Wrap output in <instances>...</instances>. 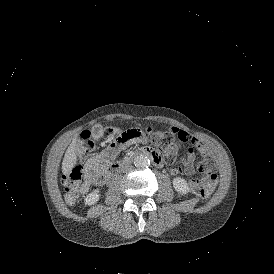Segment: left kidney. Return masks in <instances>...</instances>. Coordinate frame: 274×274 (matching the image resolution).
<instances>
[{"label": "left kidney", "mask_w": 274, "mask_h": 274, "mask_svg": "<svg viewBox=\"0 0 274 274\" xmlns=\"http://www.w3.org/2000/svg\"><path fill=\"white\" fill-rule=\"evenodd\" d=\"M173 187L180 194H187L190 190L186 180L180 177L173 179Z\"/></svg>", "instance_id": "1"}]
</instances>
